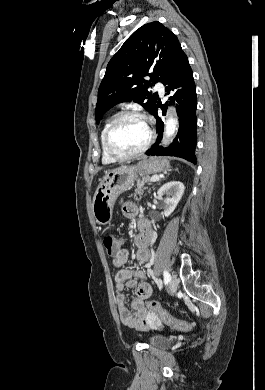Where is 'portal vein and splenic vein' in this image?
Listing matches in <instances>:
<instances>
[{"mask_svg":"<svg viewBox=\"0 0 265 390\" xmlns=\"http://www.w3.org/2000/svg\"><path fill=\"white\" fill-rule=\"evenodd\" d=\"M159 180V177L158 176H152L151 177V181L152 182H155V181H158Z\"/></svg>","mask_w":265,"mask_h":390,"instance_id":"18ae733b","label":"portal vein and splenic vein"}]
</instances>
